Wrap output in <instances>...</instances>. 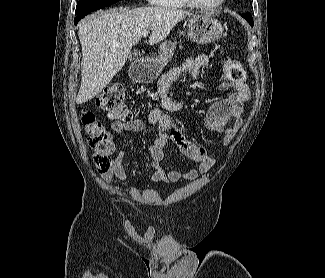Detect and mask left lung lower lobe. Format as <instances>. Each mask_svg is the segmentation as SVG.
<instances>
[{"instance_id":"obj_1","label":"left lung lower lobe","mask_w":325,"mask_h":278,"mask_svg":"<svg viewBox=\"0 0 325 278\" xmlns=\"http://www.w3.org/2000/svg\"><path fill=\"white\" fill-rule=\"evenodd\" d=\"M242 17L245 18L251 26H253L254 23H253V18L251 16V14H249V13L242 14Z\"/></svg>"}]
</instances>
